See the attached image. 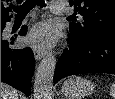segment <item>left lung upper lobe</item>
Wrapping results in <instances>:
<instances>
[{
	"label": "left lung upper lobe",
	"instance_id": "5c2ea615",
	"mask_svg": "<svg viewBox=\"0 0 115 99\" xmlns=\"http://www.w3.org/2000/svg\"><path fill=\"white\" fill-rule=\"evenodd\" d=\"M83 23H70L69 35L78 43L96 38L115 39V0H69Z\"/></svg>",
	"mask_w": 115,
	"mask_h": 99
}]
</instances>
